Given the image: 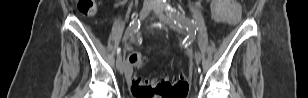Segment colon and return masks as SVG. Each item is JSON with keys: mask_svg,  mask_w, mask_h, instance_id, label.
I'll return each mask as SVG.
<instances>
[{"mask_svg": "<svg viewBox=\"0 0 308 98\" xmlns=\"http://www.w3.org/2000/svg\"><path fill=\"white\" fill-rule=\"evenodd\" d=\"M78 10L85 16H91L96 12V2L94 0H79ZM128 60L134 66H141L146 61L142 55L137 53H131ZM188 89L189 84L184 76L175 82L163 80L159 83L136 78L132 92L138 98H184Z\"/></svg>", "mask_w": 308, "mask_h": 98, "instance_id": "5ec220e1", "label": "colon"}]
</instances>
